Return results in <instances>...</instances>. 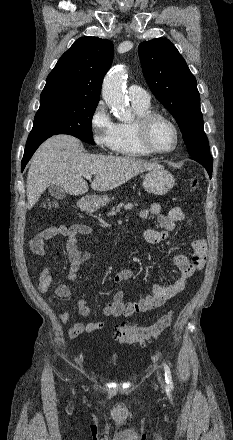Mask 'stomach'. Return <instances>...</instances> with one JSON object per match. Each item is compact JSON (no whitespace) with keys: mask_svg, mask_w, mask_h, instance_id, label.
Here are the masks:
<instances>
[{"mask_svg":"<svg viewBox=\"0 0 233 440\" xmlns=\"http://www.w3.org/2000/svg\"><path fill=\"white\" fill-rule=\"evenodd\" d=\"M174 176L160 166L148 171L143 179V187L148 193L155 195H165L174 186ZM109 202L106 195L103 196H85L81 199L80 205L87 211H94L103 207Z\"/></svg>","mask_w":233,"mask_h":440,"instance_id":"0dacf381","label":"stomach"}]
</instances>
